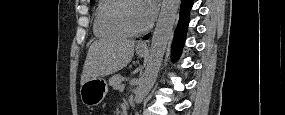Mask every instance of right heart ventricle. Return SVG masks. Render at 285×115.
Returning <instances> with one entry per match:
<instances>
[{
    "label": "right heart ventricle",
    "instance_id": "obj_1",
    "mask_svg": "<svg viewBox=\"0 0 285 115\" xmlns=\"http://www.w3.org/2000/svg\"><path fill=\"white\" fill-rule=\"evenodd\" d=\"M122 0H100L98 1L95 12L93 30L97 37L118 39L127 36L116 23L114 14Z\"/></svg>",
    "mask_w": 285,
    "mask_h": 115
}]
</instances>
